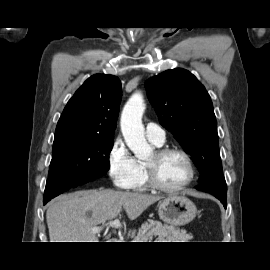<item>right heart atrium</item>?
Segmentation results:
<instances>
[{"mask_svg":"<svg viewBox=\"0 0 270 270\" xmlns=\"http://www.w3.org/2000/svg\"><path fill=\"white\" fill-rule=\"evenodd\" d=\"M108 174L114 185L131 189L137 175L136 159L132 156L122 138H116L107 155Z\"/></svg>","mask_w":270,"mask_h":270,"instance_id":"right-heart-atrium-1","label":"right heart atrium"}]
</instances>
